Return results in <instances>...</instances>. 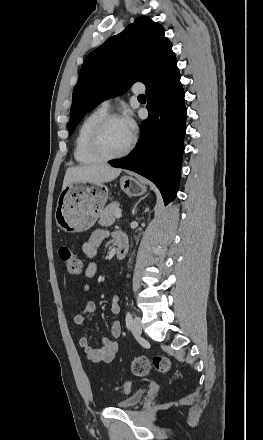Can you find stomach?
Returning <instances> with one entry per match:
<instances>
[{
	"label": "stomach",
	"instance_id": "0dacf381",
	"mask_svg": "<svg viewBox=\"0 0 263 440\" xmlns=\"http://www.w3.org/2000/svg\"><path fill=\"white\" fill-rule=\"evenodd\" d=\"M121 189L129 196L143 195L147 186L142 181L123 176ZM108 199L102 184L87 185L74 182L64 187L58 197L55 220L59 229L67 233L83 232L91 228L101 216Z\"/></svg>",
	"mask_w": 263,
	"mask_h": 440
}]
</instances>
